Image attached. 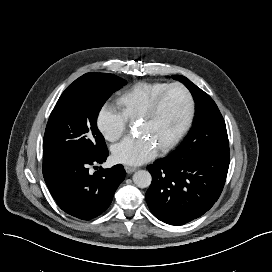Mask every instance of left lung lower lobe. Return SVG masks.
<instances>
[{"label": "left lung lower lobe", "mask_w": 272, "mask_h": 272, "mask_svg": "<svg viewBox=\"0 0 272 272\" xmlns=\"http://www.w3.org/2000/svg\"><path fill=\"white\" fill-rule=\"evenodd\" d=\"M229 168V151L171 153L148 166L152 183L146 201L152 214L170 225H183L208 211L219 198Z\"/></svg>", "instance_id": "left-lung-lower-lobe-1"}]
</instances>
